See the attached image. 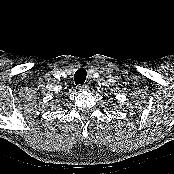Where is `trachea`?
<instances>
[{"mask_svg":"<svg viewBox=\"0 0 174 174\" xmlns=\"http://www.w3.org/2000/svg\"><path fill=\"white\" fill-rule=\"evenodd\" d=\"M87 76L85 69L80 68L75 72L74 81L76 85H83Z\"/></svg>","mask_w":174,"mask_h":174,"instance_id":"obj_1","label":"trachea"}]
</instances>
